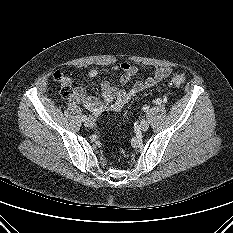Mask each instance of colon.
<instances>
[{
	"label": "colon",
	"mask_w": 233,
	"mask_h": 233,
	"mask_svg": "<svg viewBox=\"0 0 233 233\" xmlns=\"http://www.w3.org/2000/svg\"><path fill=\"white\" fill-rule=\"evenodd\" d=\"M54 79L61 84V93L65 98H69L73 94V88L69 83L64 82V78L62 77L60 72H56L54 74ZM186 78L182 74H178L173 76L168 82L167 85L170 87H178L185 82Z\"/></svg>",
	"instance_id": "1"
}]
</instances>
